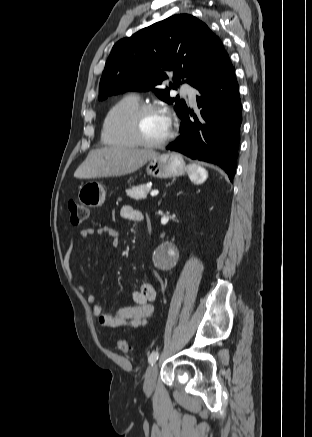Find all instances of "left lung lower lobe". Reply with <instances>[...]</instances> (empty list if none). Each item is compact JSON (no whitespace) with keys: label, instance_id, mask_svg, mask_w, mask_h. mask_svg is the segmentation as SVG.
Here are the masks:
<instances>
[{"label":"left lung lower lobe","instance_id":"left-lung-lower-lobe-1","mask_svg":"<svg viewBox=\"0 0 312 437\" xmlns=\"http://www.w3.org/2000/svg\"><path fill=\"white\" fill-rule=\"evenodd\" d=\"M196 89L197 105L202 108L194 121L189 110L180 115L181 135L167 149L219 165L230 180L236 172L240 142L242 105L233 66L228 54L223 53L212 72Z\"/></svg>","mask_w":312,"mask_h":437}]
</instances>
